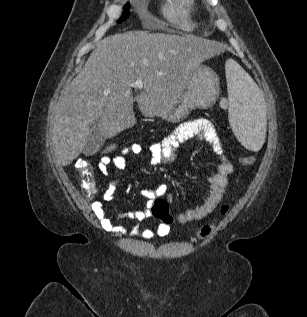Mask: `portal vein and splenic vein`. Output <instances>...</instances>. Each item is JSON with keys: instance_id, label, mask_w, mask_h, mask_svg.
<instances>
[{"instance_id": "portal-vein-and-splenic-vein-1", "label": "portal vein and splenic vein", "mask_w": 307, "mask_h": 317, "mask_svg": "<svg viewBox=\"0 0 307 317\" xmlns=\"http://www.w3.org/2000/svg\"><path fill=\"white\" fill-rule=\"evenodd\" d=\"M144 86L142 79H137L131 87L142 89Z\"/></svg>"}]
</instances>
